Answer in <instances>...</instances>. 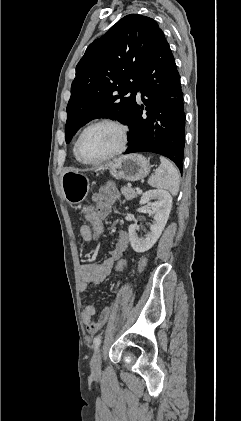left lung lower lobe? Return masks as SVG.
<instances>
[{
  "label": "left lung lower lobe",
  "mask_w": 241,
  "mask_h": 421,
  "mask_svg": "<svg viewBox=\"0 0 241 421\" xmlns=\"http://www.w3.org/2000/svg\"><path fill=\"white\" fill-rule=\"evenodd\" d=\"M143 104H135L124 154L152 152L171 159L182 172L185 113L180 76L162 30L145 61L136 84ZM146 109V117L142 110Z\"/></svg>",
  "instance_id": "0a47b994"
}]
</instances>
